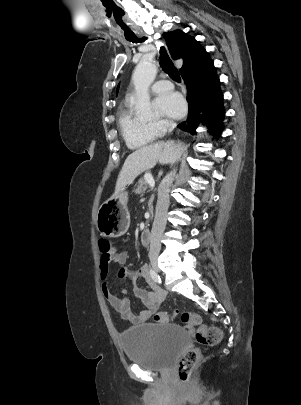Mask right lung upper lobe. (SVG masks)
Returning a JSON list of instances; mask_svg holds the SVG:
<instances>
[{"label": "right lung upper lobe", "mask_w": 301, "mask_h": 405, "mask_svg": "<svg viewBox=\"0 0 301 405\" xmlns=\"http://www.w3.org/2000/svg\"><path fill=\"white\" fill-rule=\"evenodd\" d=\"M167 47L174 59L182 58L184 64L180 69L183 73L209 59L208 53L191 36L182 31L167 32L163 34Z\"/></svg>", "instance_id": "cb5924a9"}]
</instances>
